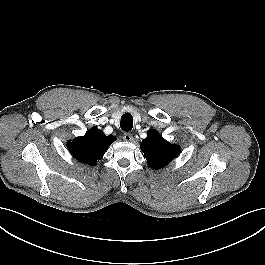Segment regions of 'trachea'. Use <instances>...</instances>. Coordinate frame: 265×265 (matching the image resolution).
I'll return each instance as SVG.
<instances>
[{
    "label": "trachea",
    "mask_w": 265,
    "mask_h": 265,
    "mask_svg": "<svg viewBox=\"0 0 265 265\" xmlns=\"http://www.w3.org/2000/svg\"><path fill=\"white\" fill-rule=\"evenodd\" d=\"M120 127L123 131L129 132L133 128V117L130 113H125L121 117Z\"/></svg>",
    "instance_id": "trachea-1"
}]
</instances>
